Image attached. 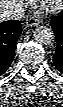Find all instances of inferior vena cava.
<instances>
[{
	"label": "inferior vena cava",
	"mask_w": 63,
	"mask_h": 107,
	"mask_svg": "<svg viewBox=\"0 0 63 107\" xmlns=\"http://www.w3.org/2000/svg\"><path fill=\"white\" fill-rule=\"evenodd\" d=\"M0 18L21 19L24 16L23 2L19 0H1Z\"/></svg>",
	"instance_id": "inferior-vena-cava-1"
}]
</instances>
